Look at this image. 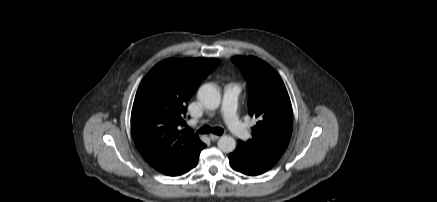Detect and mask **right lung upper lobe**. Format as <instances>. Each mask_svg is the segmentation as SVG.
<instances>
[{"mask_svg": "<svg viewBox=\"0 0 437 202\" xmlns=\"http://www.w3.org/2000/svg\"><path fill=\"white\" fill-rule=\"evenodd\" d=\"M218 59H166L156 64L141 82L132 108L135 145L153 168L169 174L202 146L185 124L187 102L217 66Z\"/></svg>", "mask_w": 437, "mask_h": 202, "instance_id": "obj_1", "label": "right lung upper lobe"}]
</instances>
